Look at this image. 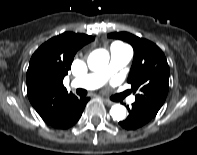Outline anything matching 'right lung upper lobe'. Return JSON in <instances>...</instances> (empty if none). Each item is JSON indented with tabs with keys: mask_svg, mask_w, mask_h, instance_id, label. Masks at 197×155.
<instances>
[{
	"mask_svg": "<svg viewBox=\"0 0 197 155\" xmlns=\"http://www.w3.org/2000/svg\"><path fill=\"white\" fill-rule=\"evenodd\" d=\"M93 40L90 35L65 32L45 42L32 55L26 76L27 94L47 124H52L76 97L67 92L63 79L76 52Z\"/></svg>",
	"mask_w": 197,
	"mask_h": 155,
	"instance_id": "1",
	"label": "right lung upper lobe"
}]
</instances>
